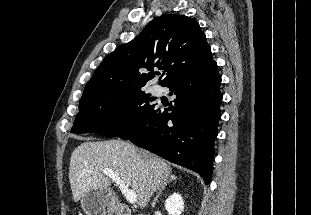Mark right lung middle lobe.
<instances>
[{
  "instance_id": "obj_1",
  "label": "right lung middle lobe",
  "mask_w": 311,
  "mask_h": 215,
  "mask_svg": "<svg viewBox=\"0 0 311 215\" xmlns=\"http://www.w3.org/2000/svg\"><path fill=\"white\" fill-rule=\"evenodd\" d=\"M153 98L142 89L94 96L79 104L72 132L116 137L137 126L154 110Z\"/></svg>"
}]
</instances>
